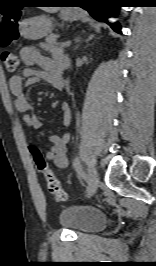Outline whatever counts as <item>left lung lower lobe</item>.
Listing matches in <instances>:
<instances>
[{
    "label": "left lung lower lobe",
    "instance_id": "left-lung-lower-lobe-1",
    "mask_svg": "<svg viewBox=\"0 0 156 266\" xmlns=\"http://www.w3.org/2000/svg\"><path fill=\"white\" fill-rule=\"evenodd\" d=\"M62 3V1L58 2V4ZM74 3L89 11L97 20L105 22H107V18L117 15L119 7H123L120 5L121 0H74ZM110 26L117 33H121L118 23H110Z\"/></svg>",
    "mask_w": 156,
    "mask_h": 266
}]
</instances>
